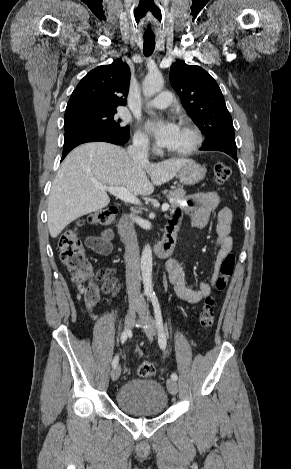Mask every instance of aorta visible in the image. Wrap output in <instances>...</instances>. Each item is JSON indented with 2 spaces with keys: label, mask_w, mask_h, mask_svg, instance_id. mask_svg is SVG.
Segmentation results:
<instances>
[{
  "label": "aorta",
  "mask_w": 291,
  "mask_h": 469,
  "mask_svg": "<svg viewBox=\"0 0 291 469\" xmlns=\"http://www.w3.org/2000/svg\"><path fill=\"white\" fill-rule=\"evenodd\" d=\"M164 85L160 74L147 75L143 81L142 89L145 97L150 98L158 93ZM141 273L146 293L153 292L152 284V250L149 244L145 245L141 255Z\"/></svg>",
  "instance_id": "762f6f07"
}]
</instances>
